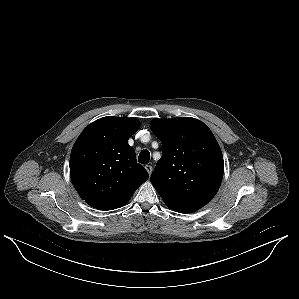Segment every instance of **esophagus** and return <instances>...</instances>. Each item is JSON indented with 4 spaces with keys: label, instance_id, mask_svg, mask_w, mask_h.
Instances as JSON below:
<instances>
[{
    "label": "esophagus",
    "instance_id": "obj_1",
    "mask_svg": "<svg viewBox=\"0 0 299 299\" xmlns=\"http://www.w3.org/2000/svg\"><path fill=\"white\" fill-rule=\"evenodd\" d=\"M145 169L147 170L149 176L152 174L153 172V167L149 164L145 165Z\"/></svg>",
    "mask_w": 299,
    "mask_h": 299
}]
</instances>
